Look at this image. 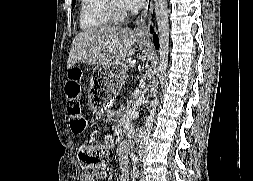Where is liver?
Segmentation results:
<instances>
[{"label": "liver", "mask_w": 253, "mask_h": 181, "mask_svg": "<svg viewBox=\"0 0 253 181\" xmlns=\"http://www.w3.org/2000/svg\"><path fill=\"white\" fill-rule=\"evenodd\" d=\"M137 40L129 28L102 26L90 28L77 34L72 41L67 68L76 63L116 65L131 61V47Z\"/></svg>", "instance_id": "6515ba94"}]
</instances>
